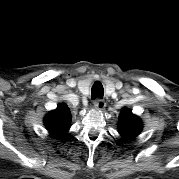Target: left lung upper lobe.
I'll list each match as a JSON object with an SVG mask.
<instances>
[{
  "label": "left lung upper lobe",
  "instance_id": "1",
  "mask_svg": "<svg viewBox=\"0 0 179 179\" xmlns=\"http://www.w3.org/2000/svg\"><path fill=\"white\" fill-rule=\"evenodd\" d=\"M119 133L125 139L136 137L142 130V122L130 109H124L119 116Z\"/></svg>",
  "mask_w": 179,
  "mask_h": 179
}]
</instances>
